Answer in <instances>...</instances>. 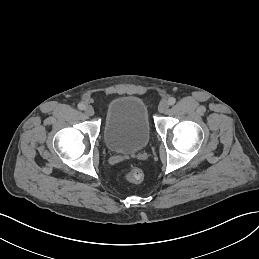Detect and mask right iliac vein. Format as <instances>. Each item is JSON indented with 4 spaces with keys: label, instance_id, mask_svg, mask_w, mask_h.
Here are the masks:
<instances>
[{
    "label": "right iliac vein",
    "instance_id": "63e3f726",
    "mask_svg": "<svg viewBox=\"0 0 259 259\" xmlns=\"http://www.w3.org/2000/svg\"><path fill=\"white\" fill-rule=\"evenodd\" d=\"M85 114L88 116H93L94 115V109L91 106H86L85 109Z\"/></svg>",
    "mask_w": 259,
    "mask_h": 259
}]
</instances>
